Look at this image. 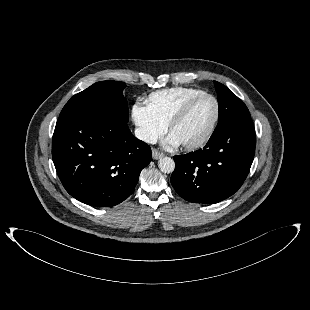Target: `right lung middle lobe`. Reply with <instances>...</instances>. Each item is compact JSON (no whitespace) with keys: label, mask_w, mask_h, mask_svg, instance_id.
<instances>
[{"label":"right lung middle lobe","mask_w":310,"mask_h":310,"mask_svg":"<svg viewBox=\"0 0 310 310\" xmlns=\"http://www.w3.org/2000/svg\"><path fill=\"white\" fill-rule=\"evenodd\" d=\"M125 86V83L119 81L97 82L74 95L59 117L75 113H100L128 122V106L123 96Z\"/></svg>","instance_id":"1"}]
</instances>
